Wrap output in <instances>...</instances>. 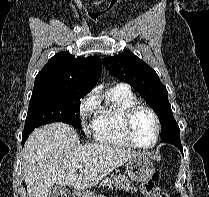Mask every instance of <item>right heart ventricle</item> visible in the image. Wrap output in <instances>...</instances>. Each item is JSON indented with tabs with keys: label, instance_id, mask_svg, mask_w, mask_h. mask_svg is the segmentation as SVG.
I'll list each match as a JSON object with an SVG mask.
<instances>
[{
	"label": "right heart ventricle",
	"instance_id": "e07e8e85",
	"mask_svg": "<svg viewBox=\"0 0 209 197\" xmlns=\"http://www.w3.org/2000/svg\"><path fill=\"white\" fill-rule=\"evenodd\" d=\"M136 101V96L127 85L119 84L109 89L92 126L96 139L107 144L130 146L123 131V115Z\"/></svg>",
	"mask_w": 209,
	"mask_h": 197
}]
</instances>
